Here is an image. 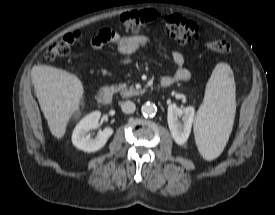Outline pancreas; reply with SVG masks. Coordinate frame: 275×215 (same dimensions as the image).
Returning a JSON list of instances; mask_svg holds the SVG:
<instances>
[{"mask_svg":"<svg viewBox=\"0 0 275 215\" xmlns=\"http://www.w3.org/2000/svg\"><path fill=\"white\" fill-rule=\"evenodd\" d=\"M116 91H119L122 97H131L143 93V90H138L134 87H128L125 83H120L115 87Z\"/></svg>","mask_w":275,"mask_h":215,"instance_id":"obj_1","label":"pancreas"}]
</instances>
